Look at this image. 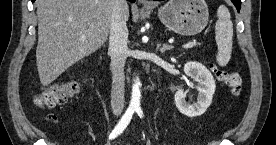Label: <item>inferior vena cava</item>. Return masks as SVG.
<instances>
[{"mask_svg": "<svg viewBox=\"0 0 276 145\" xmlns=\"http://www.w3.org/2000/svg\"><path fill=\"white\" fill-rule=\"evenodd\" d=\"M127 9L126 0H114L110 24L109 53L112 66L111 107L115 115L121 114L125 102L124 66L128 57Z\"/></svg>", "mask_w": 276, "mask_h": 145, "instance_id": "inferior-vena-cava-1", "label": "inferior vena cava"}]
</instances>
